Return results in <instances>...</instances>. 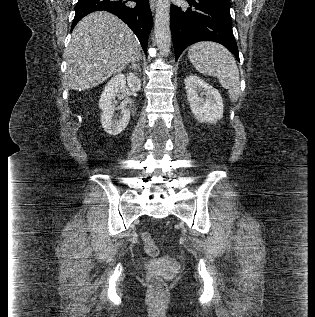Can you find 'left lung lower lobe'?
<instances>
[{
  "label": "left lung lower lobe",
  "mask_w": 315,
  "mask_h": 317,
  "mask_svg": "<svg viewBox=\"0 0 315 317\" xmlns=\"http://www.w3.org/2000/svg\"><path fill=\"white\" fill-rule=\"evenodd\" d=\"M190 8L171 5L170 28L175 59L189 45L209 40L224 45L239 60L229 0H187Z\"/></svg>",
  "instance_id": "0a47b994"
}]
</instances>
